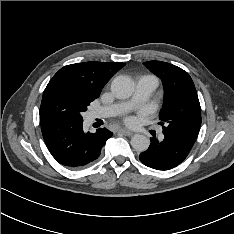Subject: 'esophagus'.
Listing matches in <instances>:
<instances>
[{
	"mask_svg": "<svg viewBox=\"0 0 234 234\" xmlns=\"http://www.w3.org/2000/svg\"><path fill=\"white\" fill-rule=\"evenodd\" d=\"M119 133L125 135V136H131L133 134L132 131L127 130V129H119Z\"/></svg>",
	"mask_w": 234,
	"mask_h": 234,
	"instance_id": "1",
	"label": "esophagus"
}]
</instances>
